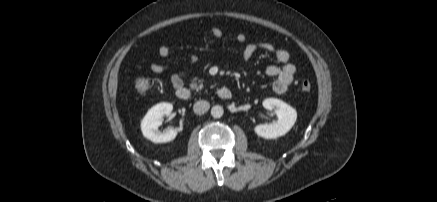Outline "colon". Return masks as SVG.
Returning <instances> with one entry per match:
<instances>
[{
	"instance_id": "obj_1",
	"label": "colon",
	"mask_w": 437,
	"mask_h": 202,
	"mask_svg": "<svg viewBox=\"0 0 437 202\" xmlns=\"http://www.w3.org/2000/svg\"><path fill=\"white\" fill-rule=\"evenodd\" d=\"M153 81L148 77H136L133 80V87L138 94H146L152 87ZM312 85L310 81L303 80L300 83V89L304 93L310 92Z\"/></svg>"
}]
</instances>
